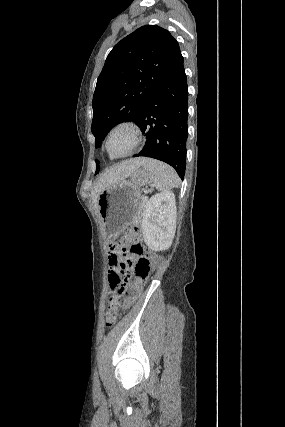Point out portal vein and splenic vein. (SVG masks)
<instances>
[{"mask_svg":"<svg viewBox=\"0 0 285 427\" xmlns=\"http://www.w3.org/2000/svg\"><path fill=\"white\" fill-rule=\"evenodd\" d=\"M142 200H147V196H142Z\"/></svg>","mask_w":285,"mask_h":427,"instance_id":"1","label":"portal vein and splenic vein"}]
</instances>
